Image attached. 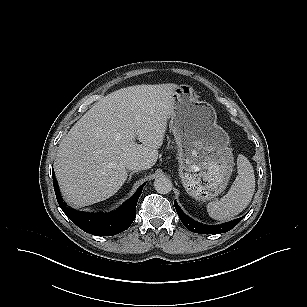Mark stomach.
<instances>
[{
  "instance_id": "obj_1",
  "label": "stomach",
  "mask_w": 307,
  "mask_h": 307,
  "mask_svg": "<svg viewBox=\"0 0 307 307\" xmlns=\"http://www.w3.org/2000/svg\"><path fill=\"white\" fill-rule=\"evenodd\" d=\"M172 97L170 128L178 148L179 177L190 196L210 200L225 190L233 171L229 136L217 124L213 106L199 100L191 86H178Z\"/></svg>"
}]
</instances>
